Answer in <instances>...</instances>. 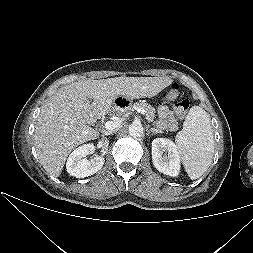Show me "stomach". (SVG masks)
I'll return each instance as SVG.
<instances>
[{
  "label": "stomach",
  "instance_id": "1",
  "mask_svg": "<svg viewBox=\"0 0 253 253\" xmlns=\"http://www.w3.org/2000/svg\"><path fill=\"white\" fill-rule=\"evenodd\" d=\"M113 109L119 114H129L132 111V98L129 95H122L115 98Z\"/></svg>",
  "mask_w": 253,
  "mask_h": 253
}]
</instances>
